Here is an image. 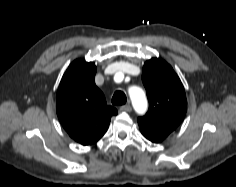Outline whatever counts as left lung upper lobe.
<instances>
[{"instance_id":"1","label":"left lung upper lobe","mask_w":236,"mask_h":187,"mask_svg":"<svg viewBox=\"0 0 236 187\" xmlns=\"http://www.w3.org/2000/svg\"><path fill=\"white\" fill-rule=\"evenodd\" d=\"M142 81L146 88L149 109L143 117L138 118L139 128L144 137L159 143L185 117V90L172 67L158 58H152L144 64Z\"/></svg>"}]
</instances>
